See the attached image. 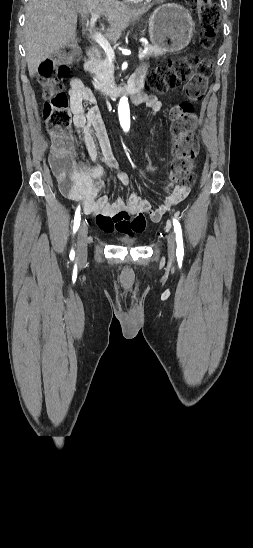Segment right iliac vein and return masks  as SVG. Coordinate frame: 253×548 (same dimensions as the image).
Segmentation results:
<instances>
[{"instance_id":"63e3f726","label":"right iliac vein","mask_w":253,"mask_h":548,"mask_svg":"<svg viewBox=\"0 0 253 548\" xmlns=\"http://www.w3.org/2000/svg\"><path fill=\"white\" fill-rule=\"evenodd\" d=\"M87 234H88V227L83 222L80 225L78 236H77V258L80 261H83L87 257Z\"/></svg>"}]
</instances>
